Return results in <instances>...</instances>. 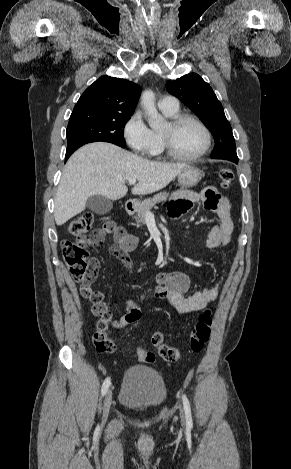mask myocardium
<instances>
[{
	"mask_svg": "<svg viewBox=\"0 0 291 469\" xmlns=\"http://www.w3.org/2000/svg\"><path fill=\"white\" fill-rule=\"evenodd\" d=\"M185 121L194 122L202 130L204 134V145L202 149L193 156H181L174 150L170 136L163 132H161L162 146L166 155L172 158L173 160L179 162H194L201 159L209 151L212 142V136L209 128L204 124V122H202L198 117L191 114H177L171 118L168 124L171 128H176Z\"/></svg>",
	"mask_w": 291,
	"mask_h": 469,
	"instance_id": "myocardium-1",
	"label": "myocardium"
}]
</instances>
